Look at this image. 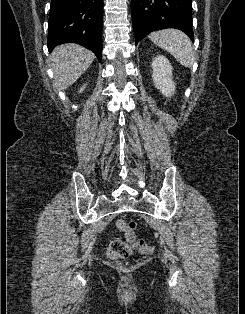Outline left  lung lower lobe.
Segmentation results:
<instances>
[{
	"instance_id": "obj_1",
	"label": "left lung lower lobe",
	"mask_w": 245,
	"mask_h": 314,
	"mask_svg": "<svg viewBox=\"0 0 245 314\" xmlns=\"http://www.w3.org/2000/svg\"><path fill=\"white\" fill-rule=\"evenodd\" d=\"M136 44L150 32L176 28L194 39L191 0H131Z\"/></svg>"
}]
</instances>
